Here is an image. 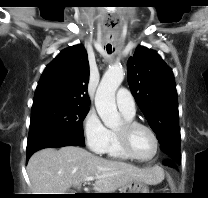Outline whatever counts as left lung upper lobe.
Instances as JSON below:
<instances>
[{"label": "left lung upper lobe", "mask_w": 208, "mask_h": 198, "mask_svg": "<svg viewBox=\"0 0 208 198\" xmlns=\"http://www.w3.org/2000/svg\"><path fill=\"white\" fill-rule=\"evenodd\" d=\"M128 83L168 159L180 164L177 91L172 70L159 54L138 46L127 62Z\"/></svg>", "instance_id": "obj_1"}]
</instances>
